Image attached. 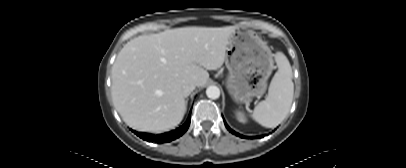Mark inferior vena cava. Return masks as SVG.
I'll return each instance as SVG.
<instances>
[{"label":"inferior vena cava","mask_w":406,"mask_h":168,"mask_svg":"<svg viewBox=\"0 0 406 168\" xmlns=\"http://www.w3.org/2000/svg\"><path fill=\"white\" fill-rule=\"evenodd\" d=\"M196 87L195 82L193 81H188L185 82V84L182 87V92L184 96H188Z\"/></svg>","instance_id":"obj_1"}]
</instances>
